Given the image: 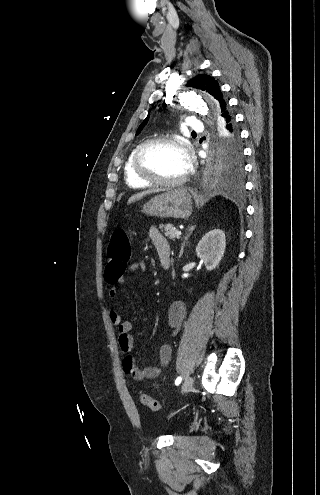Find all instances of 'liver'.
<instances>
[{"mask_svg":"<svg viewBox=\"0 0 320 495\" xmlns=\"http://www.w3.org/2000/svg\"><path fill=\"white\" fill-rule=\"evenodd\" d=\"M154 192H156V191L155 190H147V191H143V192L137 193V194L133 195L132 197H130L128 199V202L127 203L128 204L134 203V202L140 200L143 196L148 195V194H151V193H154Z\"/></svg>","mask_w":320,"mask_h":495,"instance_id":"1","label":"liver"}]
</instances>
